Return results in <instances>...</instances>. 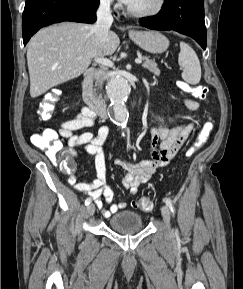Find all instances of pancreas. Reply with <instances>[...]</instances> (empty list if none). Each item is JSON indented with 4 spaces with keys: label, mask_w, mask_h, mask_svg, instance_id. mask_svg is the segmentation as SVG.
<instances>
[{
    "label": "pancreas",
    "mask_w": 243,
    "mask_h": 289,
    "mask_svg": "<svg viewBox=\"0 0 243 289\" xmlns=\"http://www.w3.org/2000/svg\"><path fill=\"white\" fill-rule=\"evenodd\" d=\"M142 59L144 60V63L142 64L144 68L148 69L156 76L160 75V70L154 60L149 59L147 56L143 57Z\"/></svg>",
    "instance_id": "cf45deb5"
}]
</instances>
